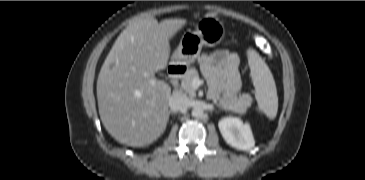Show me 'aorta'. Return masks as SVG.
Returning a JSON list of instances; mask_svg holds the SVG:
<instances>
[{
  "instance_id": "1",
  "label": "aorta",
  "mask_w": 365,
  "mask_h": 180,
  "mask_svg": "<svg viewBox=\"0 0 365 180\" xmlns=\"http://www.w3.org/2000/svg\"><path fill=\"white\" fill-rule=\"evenodd\" d=\"M192 116L195 118H201L204 115V111L201 107L196 106L192 109Z\"/></svg>"
}]
</instances>
